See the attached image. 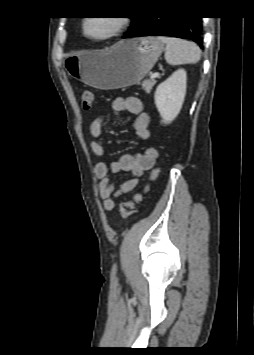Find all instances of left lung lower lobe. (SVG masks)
<instances>
[{
	"instance_id": "obj_1",
	"label": "left lung lower lobe",
	"mask_w": 254,
	"mask_h": 355,
	"mask_svg": "<svg viewBox=\"0 0 254 355\" xmlns=\"http://www.w3.org/2000/svg\"><path fill=\"white\" fill-rule=\"evenodd\" d=\"M137 20L129 28L123 38L136 36H173L189 39L203 48L201 16L194 17H136Z\"/></svg>"
}]
</instances>
